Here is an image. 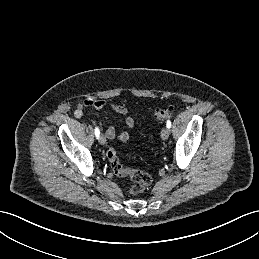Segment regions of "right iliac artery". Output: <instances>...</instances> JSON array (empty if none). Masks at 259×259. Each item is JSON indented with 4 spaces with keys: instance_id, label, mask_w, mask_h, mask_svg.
Instances as JSON below:
<instances>
[{
    "instance_id": "1",
    "label": "right iliac artery",
    "mask_w": 259,
    "mask_h": 259,
    "mask_svg": "<svg viewBox=\"0 0 259 259\" xmlns=\"http://www.w3.org/2000/svg\"><path fill=\"white\" fill-rule=\"evenodd\" d=\"M95 135H96L97 138H98L99 135H100V131H99V129H98L97 127L95 128Z\"/></svg>"
}]
</instances>
